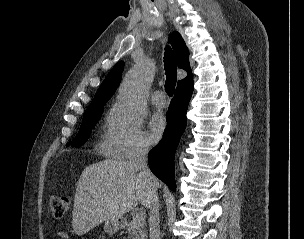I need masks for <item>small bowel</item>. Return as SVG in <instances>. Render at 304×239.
I'll use <instances>...</instances> for the list:
<instances>
[{"instance_id": "small-bowel-1", "label": "small bowel", "mask_w": 304, "mask_h": 239, "mask_svg": "<svg viewBox=\"0 0 304 239\" xmlns=\"http://www.w3.org/2000/svg\"><path fill=\"white\" fill-rule=\"evenodd\" d=\"M56 239H67L68 236L65 232L63 231H58L55 235Z\"/></svg>"}]
</instances>
